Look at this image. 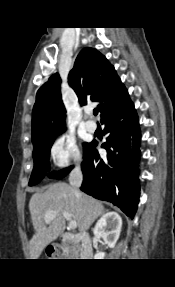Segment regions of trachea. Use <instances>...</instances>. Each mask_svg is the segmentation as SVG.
<instances>
[{"label":"trachea","instance_id":"1","mask_svg":"<svg viewBox=\"0 0 175 287\" xmlns=\"http://www.w3.org/2000/svg\"><path fill=\"white\" fill-rule=\"evenodd\" d=\"M93 114L96 116L98 114V110L94 109Z\"/></svg>","mask_w":175,"mask_h":287}]
</instances>
